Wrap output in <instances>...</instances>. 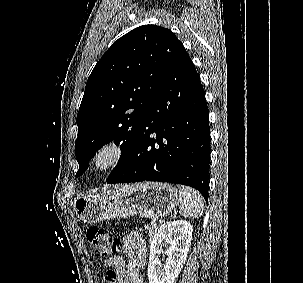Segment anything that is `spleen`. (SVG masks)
<instances>
[{"mask_svg":"<svg viewBox=\"0 0 303 283\" xmlns=\"http://www.w3.org/2000/svg\"><path fill=\"white\" fill-rule=\"evenodd\" d=\"M180 213L184 217L199 218L202 216L204 203L202 196L193 188L178 186Z\"/></svg>","mask_w":303,"mask_h":283,"instance_id":"1","label":"spleen"}]
</instances>
